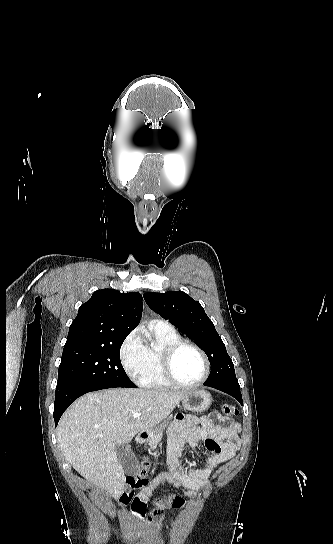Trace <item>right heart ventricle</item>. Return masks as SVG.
I'll use <instances>...</instances> for the list:
<instances>
[{"instance_id":"obj_1","label":"right heart ventricle","mask_w":333,"mask_h":544,"mask_svg":"<svg viewBox=\"0 0 333 544\" xmlns=\"http://www.w3.org/2000/svg\"><path fill=\"white\" fill-rule=\"evenodd\" d=\"M151 331L155 343L144 345L143 369L138 382L141 386L146 388H169L172 385L164 378L161 371V352L166 346L180 341L181 338L173 328L163 329L152 326Z\"/></svg>"}]
</instances>
